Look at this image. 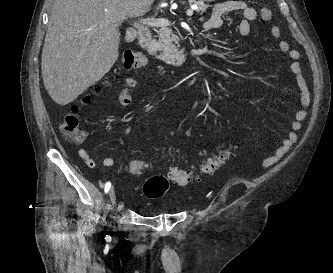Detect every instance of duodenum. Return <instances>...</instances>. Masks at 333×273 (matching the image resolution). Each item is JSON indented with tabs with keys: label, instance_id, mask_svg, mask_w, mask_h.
Wrapping results in <instances>:
<instances>
[{
	"label": "duodenum",
	"instance_id": "1",
	"mask_svg": "<svg viewBox=\"0 0 333 273\" xmlns=\"http://www.w3.org/2000/svg\"><path fill=\"white\" fill-rule=\"evenodd\" d=\"M137 40L141 47H145L150 52L153 51L155 40L149 29H140L137 32Z\"/></svg>",
	"mask_w": 333,
	"mask_h": 273
}]
</instances>
